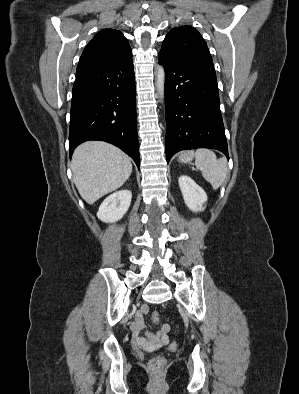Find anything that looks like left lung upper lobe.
I'll return each mask as SVG.
<instances>
[{
  "instance_id": "left-lung-upper-lobe-1",
  "label": "left lung upper lobe",
  "mask_w": 299,
  "mask_h": 394,
  "mask_svg": "<svg viewBox=\"0 0 299 394\" xmlns=\"http://www.w3.org/2000/svg\"><path fill=\"white\" fill-rule=\"evenodd\" d=\"M160 52L175 60L212 61L205 40L195 28L190 26L173 28L165 37Z\"/></svg>"
}]
</instances>
